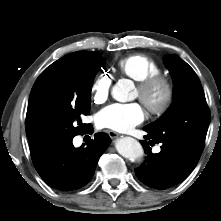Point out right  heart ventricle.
I'll list each match as a JSON object with an SVG mask.
<instances>
[{"label": "right heart ventricle", "instance_id": "e07e8e85", "mask_svg": "<svg viewBox=\"0 0 221 221\" xmlns=\"http://www.w3.org/2000/svg\"><path fill=\"white\" fill-rule=\"evenodd\" d=\"M117 68L121 74L137 82L160 73L162 69L157 60L145 54L127 56L118 62Z\"/></svg>", "mask_w": 221, "mask_h": 221}]
</instances>
